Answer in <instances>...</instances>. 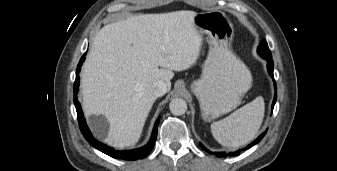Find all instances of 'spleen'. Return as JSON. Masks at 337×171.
I'll return each mask as SVG.
<instances>
[{"label": "spleen", "instance_id": "1", "mask_svg": "<svg viewBox=\"0 0 337 171\" xmlns=\"http://www.w3.org/2000/svg\"><path fill=\"white\" fill-rule=\"evenodd\" d=\"M265 103L262 96L237 109L228 117L213 122V137L225 147H240L253 140L262 124Z\"/></svg>", "mask_w": 337, "mask_h": 171}]
</instances>
